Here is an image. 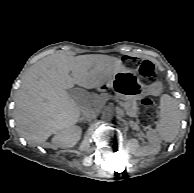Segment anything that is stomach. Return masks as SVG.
Here are the masks:
<instances>
[{
	"mask_svg": "<svg viewBox=\"0 0 194 193\" xmlns=\"http://www.w3.org/2000/svg\"><path fill=\"white\" fill-rule=\"evenodd\" d=\"M105 85L115 88L122 95L134 99L146 95L158 96L164 89L161 81H155L150 85L141 83L135 72L129 70L117 72Z\"/></svg>",
	"mask_w": 194,
	"mask_h": 193,
	"instance_id": "stomach-1",
	"label": "stomach"
}]
</instances>
